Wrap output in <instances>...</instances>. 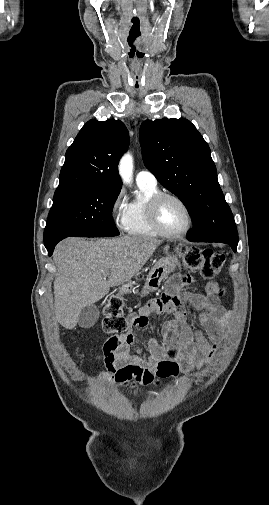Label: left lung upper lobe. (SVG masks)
Returning a JSON list of instances; mask_svg holds the SVG:
<instances>
[{
	"instance_id": "obj_1",
	"label": "left lung upper lobe",
	"mask_w": 269,
	"mask_h": 505,
	"mask_svg": "<svg viewBox=\"0 0 269 505\" xmlns=\"http://www.w3.org/2000/svg\"><path fill=\"white\" fill-rule=\"evenodd\" d=\"M145 166L189 209L196 242L238 244L236 224L208 144L187 119L146 120L140 128Z\"/></svg>"
}]
</instances>
